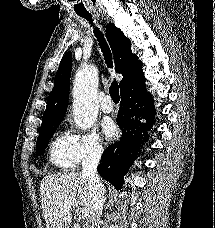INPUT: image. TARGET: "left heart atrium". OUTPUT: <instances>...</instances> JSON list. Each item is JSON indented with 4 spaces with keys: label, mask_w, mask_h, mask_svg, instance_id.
<instances>
[{
    "label": "left heart atrium",
    "mask_w": 215,
    "mask_h": 228,
    "mask_svg": "<svg viewBox=\"0 0 215 228\" xmlns=\"http://www.w3.org/2000/svg\"><path fill=\"white\" fill-rule=\"evenodd\" d=\"M103 132L108 139H112L118 135V127L112 120L103 123Z\"/></svg>",
    "instance_id": "obj_1"
}]
</instances>
